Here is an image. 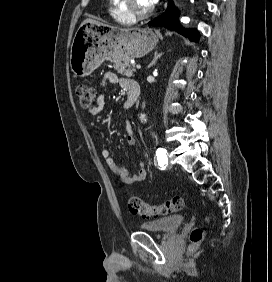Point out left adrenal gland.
Returning <instances> with one entry per match:
<instances>
[{"label":"left adrenal gland","instance_id":"a2214340","mask_svg":"<svg viewBox=\"0 0 272 282\" xmlns=\"http://www.w3.org/2000/svg\"><path fill=\"white\" fill-rule=\"evenodd\" d=\"M163 55V53H158V51L156 50L154 53V58L152 60V62L148 65V68H150L151 66L155 65V63L157 62V60Z\"/></svg>","mask_w":272,"mask_h":282}]
</instances>
